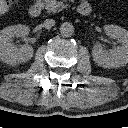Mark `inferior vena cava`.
I'll list each match as a JSON object with an SVG mask.
<instances>
[{
    "mask_svg": "<svg viewBox=\"0 0 128 128\" xmlns=\"http://www.w3.org/2000/svg\"><path fill=\"white\" fill-rule=\"evenodd\" d=\"M43 25H44V27L46 29H50V28H52L55 25V20H53V19H46L44 21V24Z\"/></svg>",
    "mask_w": 128,
    "mask_h": 128,
    "instance_id": "obj_1",
    "label": "inferior vena cava"
}]
</instances>
